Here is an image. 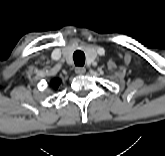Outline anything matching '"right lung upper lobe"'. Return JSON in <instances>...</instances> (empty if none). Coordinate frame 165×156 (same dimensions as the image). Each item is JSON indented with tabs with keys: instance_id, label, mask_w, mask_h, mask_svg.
<instances>
[{
	"instance_id": "cb5924a9",
	"label": "right lung upper lobe",
	"mask_w": 165,
	"mask_h": 156,
	"mask_svg": "<svg viewBox=\"0 0 165 156\" xmlns=\"http://www.w3.org/2000/svg\"><path fill=\"white\" fill-rule=\"evenodd\" d=\"M51 84H52L53 87L57 88L60 84V80L58 78H56L52 81Z\"/></svg>"
}]
</instances>
